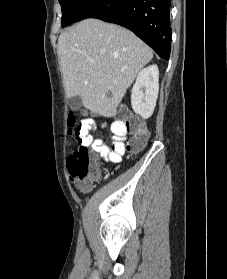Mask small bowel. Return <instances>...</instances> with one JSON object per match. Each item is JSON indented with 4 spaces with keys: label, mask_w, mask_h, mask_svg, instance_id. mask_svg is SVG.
<instances>
[{
    "label": "small bowel",
    "mask_w": 227,
    "mask_h": 279,
    "mask_svg": "<svg viewBox=\"0 0 227 279\" xmlns=\"http://www.w3.org/2000/svg\"><path fill=\"white\" fill-rule=\"evenodd\" d=\"M108 124H110V131L112 133V144L108 146L101 138H91V149L99 154L103 159L112 163H118L126 154V130L119 121H111L100 118L99 122L94 119L87 120L86 129L93 134H101L105 131ZM75 183L79 184L78 178L73 179Z\"/></svg>",
    "instance_id": "c3829d8e"
}]
</instances>
